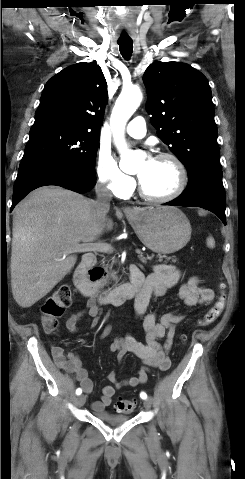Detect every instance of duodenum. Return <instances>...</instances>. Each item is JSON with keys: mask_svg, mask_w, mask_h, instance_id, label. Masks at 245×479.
<instances>
[{"mask_svg": "<svg viewBox=\"0 0 245 479\" xmlns=\"http://www.w3.org/2000/svg\"><path fill=\"white\" fill-rule=\"evenodd\" d=\"M101 277L96 257L93 254H86L75 271L74 285L84 297H92L103 305H120L128 299L136 298L144 287L143 277L137 268L130 269L128 283L104 292L99 288Z\"/></svg>", "mask_w": 245, "mask_h": 479, "instance_id": "duodenum-1", "label": "duodenum"}]
</instances>
